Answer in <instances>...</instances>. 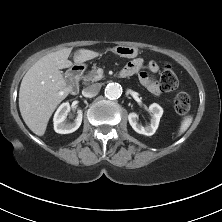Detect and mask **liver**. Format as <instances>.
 <instances>
[{"label":"liver","instance_id":"6515ba94","mask_svg":"<svg viewBox=\"0 0 222 222\" xmlns=\"http://www.w3.org/2000/svg\"><path fill=\"white\" fill-rule=\"evenodd\" d=\"M71 48H63L40 58L24 75L19 90V109L28 128L43 136L48 121L57 106L72 88L67 86L60 69L69 68ZM99 56L98 52L81 49L74 55L75 63H83Z\"/></svg>","mask_w":222,"mask_h":222}]
</instances>
